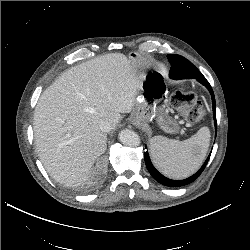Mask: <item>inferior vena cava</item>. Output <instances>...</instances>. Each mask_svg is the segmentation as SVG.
I'll use <instances>...</instances> for the list:
<instances>
[{"label":"inferior vena cava","mask_w":250,"mask_h":250,"mask_svg":"<svg viewBox=\"0 0 250 250\" xmlns=\"http://www.w3.org/2000/svg\"><path fill=\"white\" fill-rule=\"evenodd\" d=\"M99 128L103 132H109L112 129L111 123L107 121H103L100 123Z\"/></svg>","instance_id":"1"}]
</instances>
